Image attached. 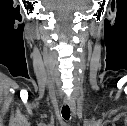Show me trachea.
Masks as SVG:
<instances>
[{
  "label": "trachea",
  "mask_w": 127,
  "mask_h": 126,
  "mask_svg": "<svg viewBox=\"0 0 127 126\" xmlns=\"http://www.w3.org/2000/svg\"><path fill=\"white\" fill-rule=\"evenodd\" d=\"M62 116L65 120H69L70 118V108L68 105L63 106L62 108Z\"/></svg>",
  "instance_id": "3493384b"
}]
</instances>
